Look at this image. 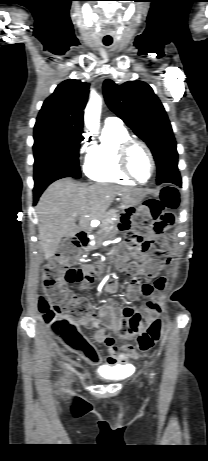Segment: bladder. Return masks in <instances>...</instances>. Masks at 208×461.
Returning <instances> with one entry per match:
<instances>
[{"instance_id": "1", "label": "bladder", "mask_w": 208, "mask_h": 461, "mask_svg": "<svg viewBox=\"0 0 208 461\" xmlns=\"http://www.w3.org/2000/svg\"><path fill=\"white\" fill-rule=\"evenodd\" d=\"M97 374L102 379L113 380V379H118L122 377V370H121V367L119 366H114V367L103 366L97 370Z\"/></svg>"}]
</instances>
